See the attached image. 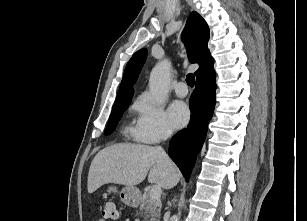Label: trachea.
Wrapping results in <instances>:
<instances>
[{
	"label": "trachea",
	"instance_id": "obj_1",
	"mask_svg": "<svg viewBox=\"0 0 307 221\" xmlns=\"http://www.w3.org/2000/svg\"><path fill=\"white\" fill-rule=\"evenodd\" d=\"M186 82L190 87H194V83H195V77L193 74H188L186 76Z\"/></svg>",
	"mask_w": 307,
	"mask_h": 221
}]
</instances>
